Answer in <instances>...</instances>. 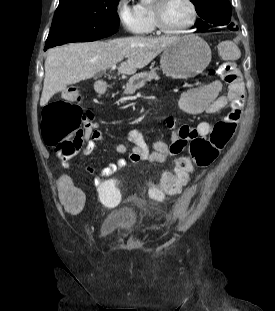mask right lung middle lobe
Returning a JSON list of instances; mask_svg holds the SVG:
<instances>
[{
    "label": "right lung middle lobe",
    "mask_w": 275,
    "mask_h": 311,
    "mask_svg": "<svg viewBox=\"0 0 275 311\" xmlns=\"http://www.w3.org/2000/svg\"><path fill=\"white\" fill-rule=\"evenodd\" d=\"M119 0H59L44 50L94 41L117 32Z\"/></svg>",
    "instance_id": "1"
}]
</instances>
